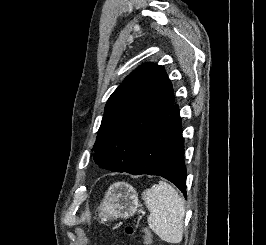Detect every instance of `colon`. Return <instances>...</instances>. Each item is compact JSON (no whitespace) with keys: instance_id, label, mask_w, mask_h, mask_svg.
Instances as JSON below:
<instances>
[{"instance_id":"5ec220e1","label":"colon","mask_w":266,"mask_h":245,"mask_svg":"<svg viewBox=\"0 0 266 245\" xmlns=\"http://www.w3.org/2000/svg\"><path fill=\"white\" fill-rule=\"evenodd\" d=\"M137 231H138L137 228L134 226H127L125 229V233L128 236L135 235ZM142 233L144 237V240H143L144 245H152L153 239H152L151 233L148 230H143Z\"/></svg>"}]
</instances>
